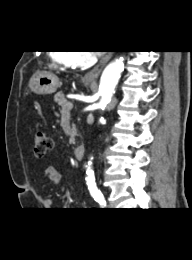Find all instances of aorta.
<instances>
[{
    "label": "aorta",
    "mask_w": 192,
    "mask_h": 260,
    "mask_svg": "<svg viewBox=\"0 0 192 260\" xmlns=\"http://www.w3.org/2000/svg\"><path fill=\"white\" fill-rule=\"evenodd\" d=\"M124 69L123 59H116L109 63L104 69L99 85V94L101 99L98 103V108L104 110L107 104L111 101V98L115 92V87L121 77V73ZM101 118L100 120H102ZM91 161L88 162L86 170V181L88 184H92L95 181L94 172L91 169Z\"/></svg>",
    "instance_id": "1"
}]
</instances>
